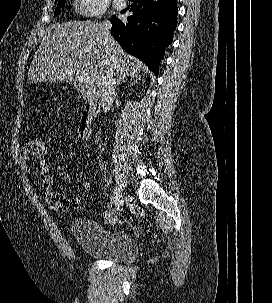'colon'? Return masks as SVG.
Here are the masks:
<instances>
[{"label":"colon","mask_w":272,"mask_h":303,"mask_svg":"<svg viewBox=\"0 0 272 303\" xmlns=\"http://www.w3.org/2000/svg\"><path fill=\"white\" fill-rule=\"evenodd\" d=\"M31 141L34 159L38 163V170L44 172L48 171L49 167L46 162V157L49 152V146L46 140L41 137H35L31 139ZM83 185L85 190L88 192L90 190V183L84 179ZM46 202L52 210L61 213L71 211L76 207V201L74 198L57 191L47 193Z\"/></svg>","instance_id":"1"}]
</instances>
